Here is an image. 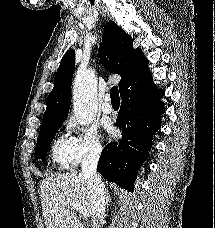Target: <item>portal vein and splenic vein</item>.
I'll use <instances>...</instances> for the list:
<instances>
[{"label":"portal vein and splenic vein","mask_w":215,"mask_h":228,"mask_svg":"<svg viewBox=\"0 0 215 228\" xmlns=\"http://www.w3.org/2000/svg\"><path fill=\"white\" fill-rule=\"evenodd\" d=\"M67 204L68 206H72L73 210H77V212L81 214L82 218H87V210H85L83 206H80V204H76V202H71V200H68Z\"/></svg>","instance_id":"18ae733b"}]
</instances>
